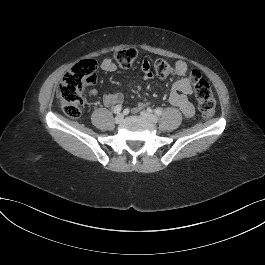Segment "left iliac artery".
Listing matches in <instances>:
<instances>
[{"label": "left iliac artery", "mask_w": 265, "mask_h": 265, "mask_svg": "<svg viewBox=\"0 0 265 265\" xmlns=\"http://www.w3.org/2000/svg\"><path fill=\"white\" fill-rule=\"evenodd\" d=\"M154 113H155L157 116H161V115H162V111H161V109H155V110H154Z\"/></svg>", "instance_id": "obj_1"}]
</instances>
